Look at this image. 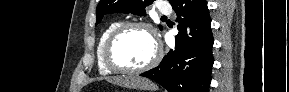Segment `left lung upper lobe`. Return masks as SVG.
<instances>
[{
	"instance_id": "1",
	"label": "left lung upper lobe",
	"mask_w": 289,
	"mask_h": 92,
	"mask_svg": "<svg viewBox=\"0 0 289 92\" xmlns=\"http://www.w3.org/2000/svg\"><path fill=\"white\" fill-rule=\"evenodd\" d=\"M174 0H169L172 3ZM153 0H101L96 9L97 22L99 24L105 14L133 13L145 16V7L152 4ZM160 30L162 26L159 25Z\"/></svg>"
}]
</instances>
